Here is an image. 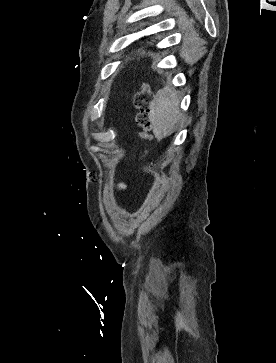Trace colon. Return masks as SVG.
<instances>
[{
    "label": "colon",
    "mask_w": 276,
    "mask_h": 363,
    "mask_svg": "<svg viewBox=\"0 0 276 363\" xmlns=\"http://www.w3.org/2000/svg\"><path fill=\"white\" fill-rule=\"evenodd\" d=\"M152 102V92L150 87L143 83L137 89L134 96V105L138 111L136 116V123L141 128L140 137L143 140H148L150 138V129H151V115H150V106ZM145 151H142L144 154Z\"/></svg>",
    "instance_id": "5ec220e1"
}]
</instances>
